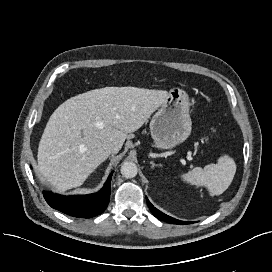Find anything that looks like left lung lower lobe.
Returning a JSON list of instances; mask_svg holds the SVG:
<instances>
[{"label": "left lung lower lobe", "mask_w": 272, "mask_h": 272, "mask_svg": "<svg viewBox=\"0 0 272 272\" xmlns=\"http://www.w3.org/2000/svg\"><path fill=\"white\" fill-rule=\"evenodd\" d=\"M147 204L149 209L151 210V212L153 213V215L158 218L159 220L168 222V223H172V224H190L193 222H185V221H180L177 219H174L164 213H162L161 211H159L158 209H156L151 203L150 201L146 198Z\"/></svg>", "instance_id": "1"}]
</instances>
